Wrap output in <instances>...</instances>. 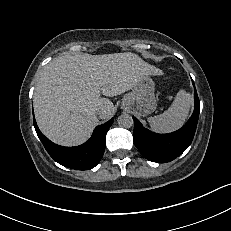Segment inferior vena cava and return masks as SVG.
<instances>
[{"label": "inferior vena cava", "instance_id": "inferior-vena-cava-1", "mask_svg": "<svg viewBox=\"0 0 231 231\" xmlns=\"http://www.w3.org/2000/svg\"><path fill=\"white\" fill-rule=\"evenodd\" d=\"M102 112H103L102 109H100V110L97 111L98 114H101Z\"/></svg>", "mask_w": 231, "mask_h": 231}]
</instances>
